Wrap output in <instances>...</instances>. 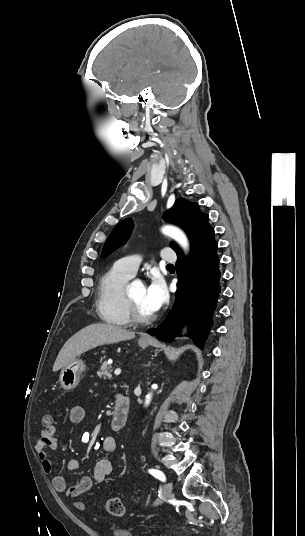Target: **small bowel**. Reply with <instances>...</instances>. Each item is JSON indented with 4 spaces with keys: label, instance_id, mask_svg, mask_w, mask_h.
I'll use <instances>...</instances> for the list:
<instances>
[{
    "label": "small bowel",
    "instance_id": "1",
    "mask_svg": "<svg viewBox=\"0 0 305 536\" xmlns=\"http://www.w3.org/2000/svg\"><path fill=\"white\" fill-rule=\"evenodd\" d=\"M86 415L84 407L75 405L70 408L68 412L69 421L73 424L81 423ZM99 447L105 453L113 454L116 451V440L111 436H105L100 438ZM60 447L59 439L57 436V428L55 425L50 424V427H43L41 435L35 445V450L39 455L42 469L46 474L53 473V464L49 457V450H57ZM82 466V461L79 459H70L66 463V469L69 472H74ZM113 472V464L107 458H99L95 461L92 470V477L83 476L76 485L69 486L65 478L61 475H54L52 477L53 488L60 494L67 497L68 495H82L89 490L93 482L101 483L106 477Z\"/></svg>",
    "mask_w": 305,
    "mask_h": 536
}]
</instances>
